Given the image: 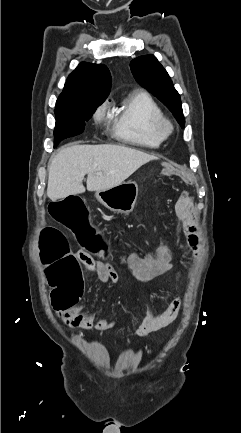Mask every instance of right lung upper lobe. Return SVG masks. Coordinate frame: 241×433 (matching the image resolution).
<instances>
[{"instance_id":"obj_1","label":"right lung upper lobe","mask_w":241,"mask_h":433,"mask_svg":"<svg viewBox=\"0 0 241 433\" xmlns=\"http://www.w3.org/2000/svg\"><path fill=\"white\" fill-rule=\"evenodd\" d=\"M111 88V76L103 64L80 63L69 75L56 103L104 101Z\"/></svg>"}]
</instances>
